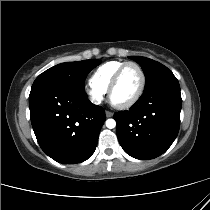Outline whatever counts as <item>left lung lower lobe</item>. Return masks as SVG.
Masks as SVG:
<instances>
[{
	"mask_svg": "<svg viewBox=\"0 0 210 210\" xmlns=\"http://www.w3.org/2000/svg\"><path fill=\"white\" fill-rule=\"evenodd\" d=\"M181 106L180 86L175 76L145 88L128 111L114 114L123 150L140 160L163 154L177 137Z\"/></svg>",
	"mask_w": 210,
	"mask_h": 210,
	"instance_id": "0a47b994",
	"label": "left lung lower lobe"
}]
</instances>
